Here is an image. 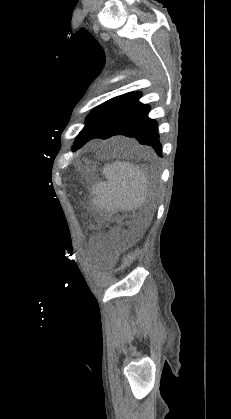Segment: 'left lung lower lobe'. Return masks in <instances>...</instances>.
Returning <instances> with one entry per match:
<instances>
[{"label": "left lung lower lobe", "mask_w": 231, "mask_h": 419, "mask_svg": "<svg viewBox=\"0 0 231 419\" xmlns=\"http://www.w3.org/2000/svg\"><path fill=\"white\" fill-rule=\"evenodd\" d=\"M141 94L134 92L126 101L108 113L74 148H81L88 141L108 139L116 135L133 137L140 144L151 146L162 157V145L157 122L148 117L150 107L138 101Z\"/></svg>", "instance_id": "1"}]
</instances>
